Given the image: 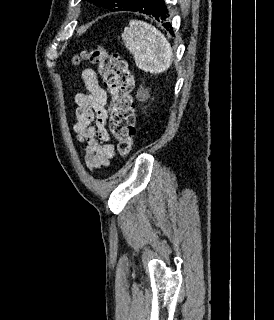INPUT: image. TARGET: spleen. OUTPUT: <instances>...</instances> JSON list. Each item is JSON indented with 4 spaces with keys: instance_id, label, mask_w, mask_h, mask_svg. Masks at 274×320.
I'll list each match as a JSON object with an SVG mask.
<instances>
[{
    "instance_id": "3e777b00",
    "label": "spleen",
    "mask_w": 274,
    "mask_h": 320,
    "mask_svg": "<svg viewBox=\"0 0 274 320\" xmlns=\"http://www.w3.org/2000/svg\"><path fill=\"white\" fill-rule=\"evenodd\" d=\"M125 48L133 54L139 70L161 74L172 64V48L165 36L146 22L131 20L121 36Z\"/></svg>"
}]
</instances>
